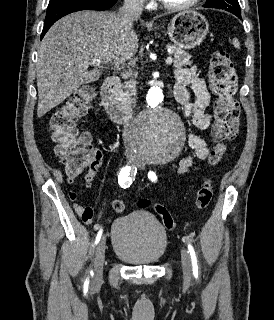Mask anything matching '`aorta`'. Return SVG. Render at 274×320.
Masks as SVG:
<instances>
[{
    "instance_id": "aorta-1",
    "label": "aorta",
    "mask_w": 274,
    "mask_h": 320,
    "mask_svg": "<svg viewBox=\"0 0 274 320\" xmlns=\"http://www.w3.org/2000/svg\"><path fill=\"white\" fill-rule=\"evenodd\" d=\"M147 108L132 124V139L137 151L149 161L165 162L180 152L185 129L180 117L166 102L160 86H152L146 96Z\"/></svg>"
}]
</instances>
